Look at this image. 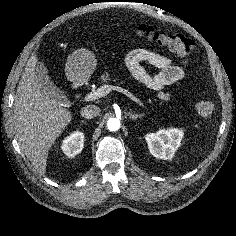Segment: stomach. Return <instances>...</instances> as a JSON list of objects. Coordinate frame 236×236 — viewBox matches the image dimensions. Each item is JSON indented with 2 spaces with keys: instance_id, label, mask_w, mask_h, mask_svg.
<instances>
[{
  "instance_id": "1",
  "label": "stomach",
  "mask_w": 236,
  "mask_h": 236,
  "mask_svg": "<svg viewBox=\"0 0 236 236\" xmlns=\"http://www.w3.org/2000/svg\"><path fill=\"white\" fill-rule=\"evenodd\" d=\"M96 68L94 54L86 49L74 51L67 60L65 71L70 81H84L88 79Z\"/></svg>"
}]
</instances>
